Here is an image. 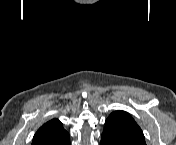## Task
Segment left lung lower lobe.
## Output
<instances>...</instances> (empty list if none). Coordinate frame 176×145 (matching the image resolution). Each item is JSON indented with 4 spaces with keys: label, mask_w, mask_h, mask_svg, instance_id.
Returning a JSON list of instances; mask_svg holds the SVG:
<instances>
[{
    "label": "left lung lower lobe",
    "mask_w": 176,
    "mask_h": 145,
    "mask_svg": "<svg viewBox=\"0 0 176 145\" xmlns=\"http://www.w3.org/2000/svg\"><path fill=\"white\" fill-rule=\"evenodd\" d=\"M101 145H114L113 143H111L106 137L102 136L101 138Z\"/></svg>",
    "instance_id": "obj_1"
}]
</instances>
